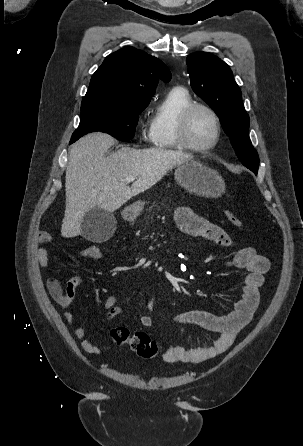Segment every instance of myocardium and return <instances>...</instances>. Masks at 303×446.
Listing matches in <instances>:
<instances>
[{"label":"myocardium","mask_w":303,"mask_h":446,"mask_svg":"<svg viewBox=\"0 0 303 446\" xmlns=\"http://www.w3.org/2000/svg\"><path fill=\"white\" fill-rule=\"evenodd\" d=\"M202 109L206 111L212 118L215 126V137L212 143H210L207 146H196L191 143L188 136V127H189V120L194 111ZM222 135V127L220 123V119L215 112L214 109H212L210 106L203 104V103H195L193 102L188 107H186L180 114L177 124V139L179 145L189 151L192 152H198V153H204L211 151L214 149L218 143L220 142Z\"/></svg>","instance_id":"f54148a6"}]
</instances>
